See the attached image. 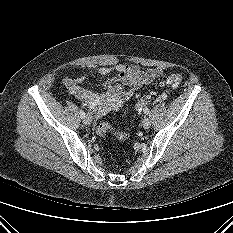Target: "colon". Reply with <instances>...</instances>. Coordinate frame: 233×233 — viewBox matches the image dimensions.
<instances>
[{"mask_svg": "<svg viewBox=\"0 0 233 233\" xmlns=\"http://www.w3.org/2000/svg\"><path fill=\"white\" fill-rule=\"evenodd\" d=\"M181 82H182V76L180 74H172L161 82V86L177 87L178 85H180ZM156 98H158V95L155 92H149L143 95L136 102L135 105L136 111L140 112L150 100ZM97 133L101 137H105L108 133H114L121 140H125L129 136L127 131L115 130L108 123H100L97 127Z\"/></svg>", "mask_w": 233, "mask_h": 233, "instance_id": "1", "label": "colon"}]
</instances>
